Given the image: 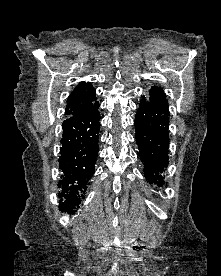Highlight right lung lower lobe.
I'll use <instances>...</instances> for the list:
<instances>
[{
	"instance_id": "98d812e1",
	"label": "right lung lower lobe",
	"mask_w": 221,
	"mask_h": 276,
	"mask_svg": "<svg viewBox=\"0 0 221 276\" xmlns=\"http://www.w3.org/2000/svg\"><path fill=\"white\" fill-rule=\"evenodd\" d=\"M98 109L99 103L95 102L83 114L69 116L62 124L59 207L68 213H74L79 208L94 174L100 129Z\"/></svg>"
}]
</instances>
